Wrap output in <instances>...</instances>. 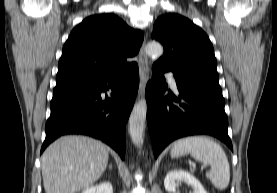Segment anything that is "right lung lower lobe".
Returning <instances> with one entry per match:
<instances>
[{"label": "right lung lower lobe", "instance_id": "obj_1", "mask_svg": "<svg viewBox=\"0 0 277 193\" xmlns=\"http://www.w3.org/2000/svg\"><path fill=\"white\" fill-rule=\"evenodd\" d=\"M139 87L136 63L108 76L54 88L41 153L66 134L100 139L125 158V128ZM111 90L108 97L101 92Z\"/></svg>", "mask_w": 277, "mask_h": 193}]
</instances>
